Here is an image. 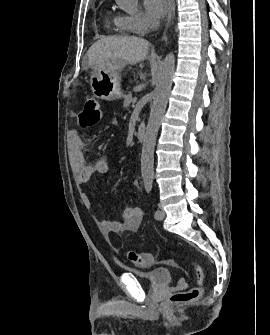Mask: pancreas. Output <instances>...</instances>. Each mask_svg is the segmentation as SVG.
<instances>
[{"label": "pancreas", "mask_w": 270, "mask_h": 335, "mask_svg": "<svg viewBox=\"0 0 270 335\" xmlns=\"http://www.w3.org/2000/svg\"><path fill=\"white\" fill-rule=\"evenodd\" d=\"M131 102H135V99L132 98L131 92H128L127 96H125L123 108H128V106H130Z\"/></svg>", "instance_id": "1"}]
</instances>
